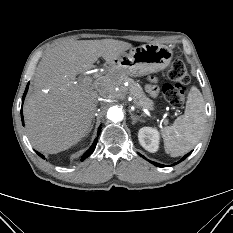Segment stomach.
<instances>
[{"instance_id":"obj_1","label":"stomach","mask_w":233,"mask_h":233,"mask_svg":"<svg viewBox=\"0 0 233 233\" xmlns=\"http://www.w3.org/2000/svg\"><path fill=\"white\" fill-rule=\"evenodd\" d=\"M173 58L170 47L159 44H145L122 53L111 63V67L130 76H144L165 69Z\"/></svg>"}]
</instances>
